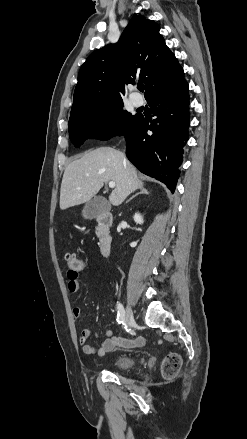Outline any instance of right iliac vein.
<instances>
[{"instance_id": "63e3f726", "label": "right iliac vein", "mask_w": 247, "mask_h": 439, "mask_svg": "<svg viewBox=\"0 0 247 439\" xmlns=\"http://www.w3.org/2000/svg\"><path fill=\"white\" fill-rule=\"evenodd\" d=\"M125 320H126L127 325H132L134 323L133 311L129 305H127V307H126V319Z\"/></svg>"}]
</instances>
